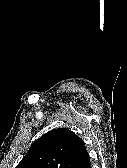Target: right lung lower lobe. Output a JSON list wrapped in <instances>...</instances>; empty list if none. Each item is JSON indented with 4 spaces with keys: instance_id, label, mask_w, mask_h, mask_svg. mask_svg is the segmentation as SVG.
<instances>
[{
    "instance_id": "right-lung-lower-lobe-1",
    "label": "right lung lower lobe",
    "mask_w": 127,
    "mask_h": 168,
    "mask_svg": "<svg viewBox=\"0 0 127 168\" xmlns=\"http://www.w3.org/2000/svg\"><path fill=\"white\" fill-rule=\"evenodd\" d=\"M77 168H90V162L89 160H86L82 164H80Z\"/></svg>"
}]
</instances>
